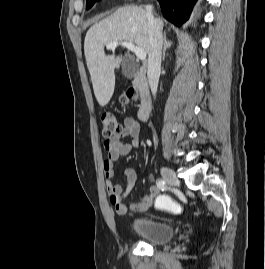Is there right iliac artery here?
<instances>
[{
	"label": "right iliac artery",
	"instance_id": "obj_1",
	"mask_svg": "<svg viewBox=\"0 0 265 269\" xmlns=\"http://www.w3.org/2000/svg\"><path fill=\"white\" fill-rule=\"evenodd\" d=\"M156 184H157V187L160 189V190H162V191H164V190H166V183H165V181L164 180H162V179H158L157 181H156Z\"/></svg>",
	"mask_w": 265,
	"mask_h": 269
}]
</instances>
